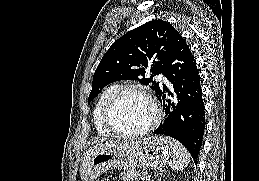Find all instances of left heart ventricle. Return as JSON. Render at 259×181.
Here are the masks:
<instances>
[{"label": "left heart ventricle", "mask_w": 259, "mask_h": 181, "mask_svg": "<svg viewBox=\"0 0 259 181\" xmlns=\"http://www.w3.org/2000/svg\"><path fill=\"white\" fill-rule=\"evenodd\" d=\"M153 118L147 98L138 91L124 92L116 102L112 121L116 128L125 132L143 129Z\"/></svg>", "instance_id": "1"}]
</instances>
